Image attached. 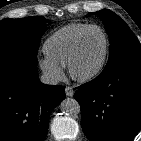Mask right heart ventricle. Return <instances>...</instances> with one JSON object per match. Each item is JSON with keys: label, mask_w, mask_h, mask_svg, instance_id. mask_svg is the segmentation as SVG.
I'll return each instance as SVG.
<instances>
[{"label": "right heart ventricle", "mask_w": 141, "mask_h": 141, "mask_svg": "<svg viewBox=\"0 0 141 141\" xmlns=\"http://www.w3.org/2000/svg\"><path fill=\"white\" fill-rule=\"evenodd\" d=\"M88 26L90 24L71 23L58 29L45 41V55L63 67L67 66L77 38Z\"/></svg>", "instance_id": "1"}]
</instances>
